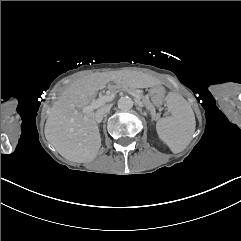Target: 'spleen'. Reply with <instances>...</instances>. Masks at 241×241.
Returning a JSON list of instances; mask_svg holds the SVG:
<instances>
[{
    "label": "spleen",
    "instance_id": "3e777b00",
    "mask_svg": "<svg viewBox=\"0 0 241 241\" xmlns=\"http://www.w3.org/2000/svg\"><path fill=\"white\" fill-rule=\"evenodd\" d=\"M167 95L172 115L157 121L156 132L172 153H179L187 147L195 131V117L181 94L171 89Z\"/></svg>",
    "mask_w": 241,
    "mask_h": 241
}]
</instances>
